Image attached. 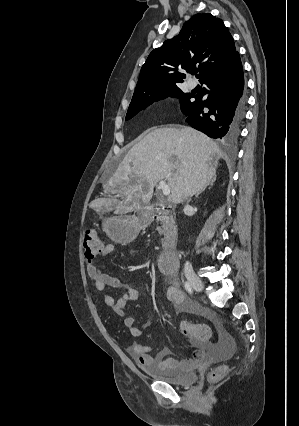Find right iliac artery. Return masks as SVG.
<instances>
[{
	"label": "right iliac artery",
	"mask_w": 299,
	"mask_h": 426,
	"mask_svg": "<svg viewBox=\"0 0 299 426\" xmlns=\"http://www.w3.org/2000/svg\"><path fill=\"white\" fill-rule=\"evenodd\" d=\"M184 286H185V289H186V291L189 293V294H192L193 293V290H192V286L190 285V283L189 282H185V284H184Z\"/></svg>",
	"instance_id": "82829eb1"
}]
</instances>
